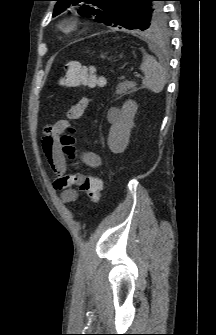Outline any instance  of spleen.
Listing matches in <instances>:
<instances>
[{"instance_id": "obj_1", "label": "spleen", "mask_w": 216, "mask_h": 335, "mask_svg": "<svg viewBox=\"0 0 216 335\" xmlns=\"http://www.w3.org/2000/svg\"><path fill=\"white\" fill-rule=\"evenodd\" d=\"M140 70L145 75L143 86L154 93H160L167 81L166 69L153 56L144 54Z\"/></svg>"}]
</instances>
